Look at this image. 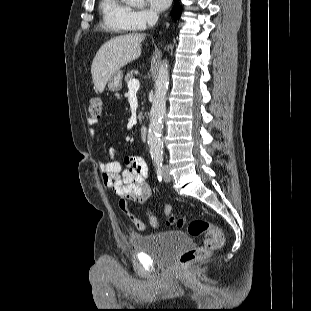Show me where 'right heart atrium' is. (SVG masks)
Masks as SVG:
<instances>
[{
    "instance_id": "obj_1",
    "label": "right heart atrium",
    "mask_w": 311,
    "mask_h": 311,
    "mask_svg": "<svg viewBox=\"0 0 311 311\" xmlns=\"http://www.w3.org/2000/svg\"><path fill=\"white\" fill-rule=\"evenodd\" d=\"M157 16L149 9L130 10L128 21L132 30H143L155 22Z\"/></svg>"
}]
</instances>
